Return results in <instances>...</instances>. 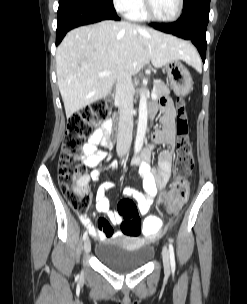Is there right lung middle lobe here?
Returning <instances> with one entry per match:
<instances>
[{
	"instance_id": "obj_1",
	"label": "right lung middle lobe",
	"mask_w": 247,
	"mask_h": 304,
	"mask_svg": "<svg viewBox=\"0 0 247 304\" xmlns=\"http://www.w3.org/2000/svg\"><path fill=\"white\" fill-rule=\"evenodd\" d=\"M102 1H108V2H112V0H102Z\"/></svg>"
}]
</instances>
